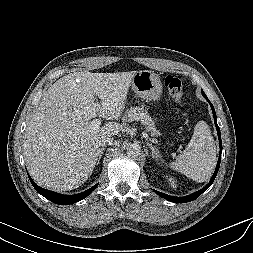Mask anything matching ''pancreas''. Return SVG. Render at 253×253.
I'll list each match as a JSON object with an SVG mask.
<instances>
[{
  "mask_svg": "<svg viewBox=\"0 0 253 253\" xmlns=\"http://www.w3.org/2000/svg\"><path fill=\"white\" fill-rule=\"evenodd\" d=\"M123 119L127 122L140 121L146 131L150 132L151 136L159 135V131L156 130L152 118L143 107H131L125 112Z\"/></svg>",
  "mask_w": 253,
  "mask_h": 253,
  "instance_id": "pancreas-1",
  "label": "pancreas"
}]
</instances>
